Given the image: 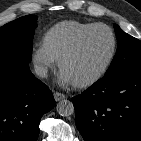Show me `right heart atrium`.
Segmentation results:
<instances>
[{
	"label": "right heart atrium",
	"instance_id": "right-heart-atrium-1",
	"mask_svg": "<svg viewBox=\"0 0 141 141\" xmlns=\"http://www.w3.org/2000/svg\"><path fill=\"white\" fill-rule=\"evenodd\" d=\"M30 58L34 72L40 78H46L56 67V59L41 44L32 49Z\"/></svg>",
	"mask_w": 141,
	"mask_h": 141
}]
</instances>
